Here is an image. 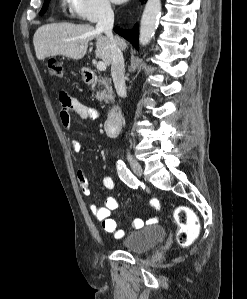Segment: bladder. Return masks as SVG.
<instances>
[{
	"mask_svg": "<svg viewBox=\"0 0 247 299\" xmlns=\"http://www.w3.org/2000/svg\"><path fill=\"white\" fill-rule=\"evenodd\" d=\"M165 237L163 226L154 224L126 236L121 247L132 253H144L157 246Z\"/></svg>",
	"mask_w": 247,
	"mask_h": 299,
	"instance_id": "1",
	"label": "bladder"
}]
</instances>
